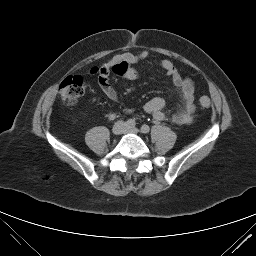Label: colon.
Listing matches in <instances>:
<instances>
[{"label": "colon", "mask_w": 256, "mask_h": 256, "mask_svg": "<svg viewBox=\"0 0 256 256\" xmlns=\"http://www.w3.org/2000/svg\"><path fill=\"white\" fill-rule=\"evenodd\" d=\"M93 74L99 73L98 68H93ZM86 83L82 76L73 75L65 78L60 84L59 94L62 102L67 106L75 105L85 92ZM199 105L202 109H208L211 102L208 97H201Z\"/></svg>", "instance_id": "colon-1"}]
</instances>
